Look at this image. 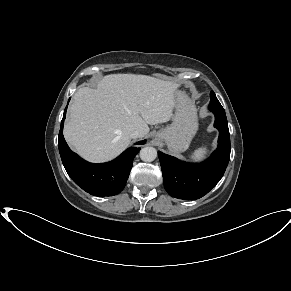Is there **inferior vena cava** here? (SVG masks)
<instances>
[{
	"label": "inferior vena cava",
	"instance_id": "602c4592",
	"mask_svg": "<svg viewBox=\"0 0 291 291\" xmlns=\"http://www.w3.org/2000/svg\"><path fill=\"white\" fill-rule=\"evenodd\" d=\"M142 136L143 135H142L141 131H139V130H133L130 134L131 138H140Z\"/></svg>",
	"mask_w": 291,
	"mask_h": 291
}]
</instances>
